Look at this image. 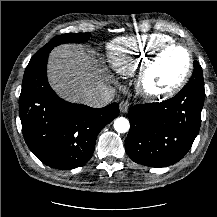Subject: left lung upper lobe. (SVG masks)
Returning a JSON list of instances; mask_svg holds the SVG:
<instances>
[{"mask_svg": "<svg viewBox=\"0 0 217 217\" xmlns=\"http://www.w3.org/2000/svg\"><path fill=\"white\" fill-rule=\"evenodd\" d=\"M189 83H195L200 88L204 89V79H203V74H202V68L198 64L197 61L194 62V71L190 78Z\"/></svg>", "mask_w": 217, "mask_h": 217, "instance_id": "5c2ea615", "label": "left lung upper lobe"}]
</instances>
